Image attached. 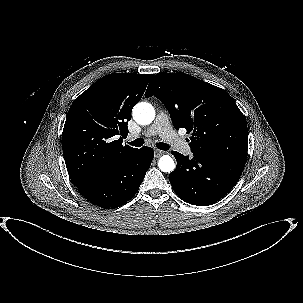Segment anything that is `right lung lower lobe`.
Returning <instances> with one entry per match:
<instances>
[{"label":"right lung lower lobe","instance_id":"1","mask_svg":"<svg viewBox=\"0 0 303 303\" xmlns=\"http://www.w3.org/2000/svg\"><path fill=\"white\" fill-rule=\"evenodd\" d=\"M154 157L150 147H142L103 175L78 187L79 193L94 205L113 209L129 201L138 191Z\"/></svg>","mask_w":303,"mask_h":303}]
</instances>
